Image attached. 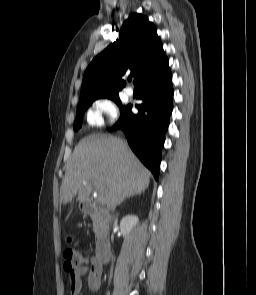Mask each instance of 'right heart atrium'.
Wrapping results in <instances>:
<instances>
[{"label":"right heart atrium","mask_w":256,"mask_h":295,"mask_svg":"<svg viewBox=\"0 0 256 295\" xmlns=\"http://www.w3.org/2000/svg\"><path fill=\"white\" fill-rule=\"evenodd\" d=\"M92 115L99 125L114 124L119 118V109L111 99L100 98L93 104Z\"/></svg>","instance_id":"right-heart-atrium-1"}]
</instances>
